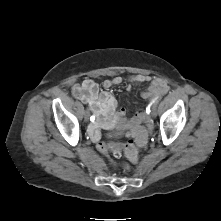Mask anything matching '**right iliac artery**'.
Segmentation results:
<instances>
[{
	"label": "right iliac artery",
	"instance_id": "right-iliac-artery-1",
	"mask_svg": "<svg viewBox=\"0 0 221 221\" xmlns=\"http://www.w3.org/2000/svg\"><path fill=\"white\" fill-rule=\"evenodd\" d=\"M90 120H91V121H94V120H95V116H91V117H90Z\"/></svg>",
	"mask_w": 221,
	"mask_h": 221
}]
</instances>
